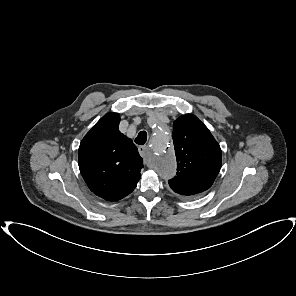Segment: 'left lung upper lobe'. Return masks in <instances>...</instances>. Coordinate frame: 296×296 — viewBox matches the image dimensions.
Masks as SVG:
<instances>
[{"label":"left lung upper lobe","instance_id":"left-lung-upper-lobe-1","mask_svg":"<svg viewBox=\"0 0 296 296\" xmlns=\"http://www.w3.org/2000/svg\"><path fill=\"white\" fill-rule=\"evenodd\" d=\"M172 138L177 175L169 180V185L184 198H196L212 186L220 171V146L208 128L192 114L174 121Z\"/></svg>","mask_w":296,"mask_h":296}]
</instances>
